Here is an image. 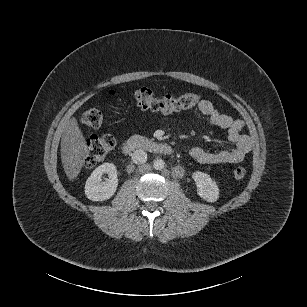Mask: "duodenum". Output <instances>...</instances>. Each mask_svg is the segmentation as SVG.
Listing matches in <instances>:
<instances>
[{
	"label": "duodenum",
	"mask_w": 307,
	"mask_h": 307,
	"mask_svg": "<svg viewBox=\"0 0 307 307\" xmlns=\"http://www.w3.org/2000/svg\"><path fill=\"white\" fill-rule=\"evenodd\" d=\"M139 149L162 155H171L173 153V148L169 144L141 136L131 137L123 145V152L125 154Z\"/></svg>",
	"instance_id": "410a0bca"
}]
</instances>
